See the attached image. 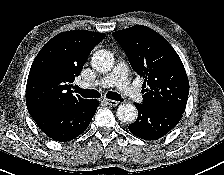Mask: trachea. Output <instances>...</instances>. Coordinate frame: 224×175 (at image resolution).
<instances>
[{
  "mask_svg": "<svg viewBox=\"0 0 224 175\" xmlns=\"http://www.w3.org/2000/svg\"><path fill=\"white\" fill-rule=\"evenodd\" d=\"M75 91L79 94H81L85 98H99L101 94L96 90H90V89H81L78 86L75 87ZM106 97L108 99L116 100V101H123L121 95H119L116 92H108L106 94Z\"/></svg>",
  "mask_w": 224,
  "mask_h": 175,
  "instance_id": "3493384b",
  "label": "trachea"
}]
</instances>
